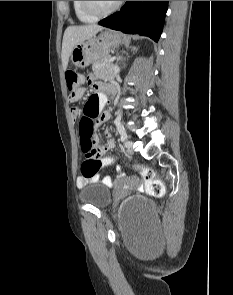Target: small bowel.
I'll list each match as a JSON object with an SVG mask.
<instances>
[{
    "label": "small bowel",
    "mask_w": 233,
    "mask_h": 295,
    "mask_svg": "<svg viewBox=\"0 0 233 295\" xmlns=\"http://www.w3.org/2000/svg\"><path fill=\"white\" fill-rule=\"evenodd\" d=\"M84 96V93L79 95L76 98H70L71 103L78 102L81 100ZM104 104H105V99L98 94H93L87 101L84 110H83V115L90 117L94 124H102L106 120L109 119L110 117V110H104ZM71 115L74 119H76L82 112L80 108L78 107H72L71 110ZM114 147V141L111 138L109 134H105V141L99 145V149L102 153H106L107 151L111 150ZM122 175V173H120ZM99 181V176L94 175L91 178H85V177H79L77 178L76 185L78 188H83L85 185H87L89 182H98ZM103 183L105 184H111V179L109 177H105L103 179Z\"/></svg>",
    "instance_id": "small-bowel-1"
}]
</instances>
